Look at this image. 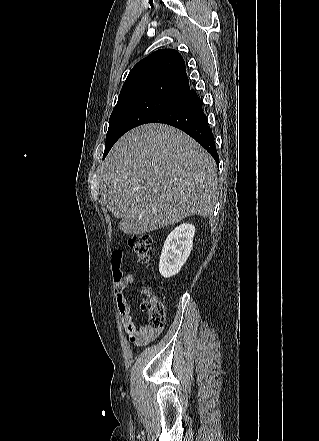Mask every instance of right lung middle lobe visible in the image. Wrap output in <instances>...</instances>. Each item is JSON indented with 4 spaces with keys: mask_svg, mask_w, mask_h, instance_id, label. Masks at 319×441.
<instances>
[{
    "mask_svg": "<svg viewBox=\"0 0 319 441\" xmlns=\"http://www.w3.org/2000/svg\"><path fill=\"white\" fill-rule=\"evenodd\" d=\"M171 104L172 102L167 100L143 97L127 100L116 105L109 120L103 158L124 133L136 126L148 123L155 115Z\"/></svg>",
    "mask_w": 319,
    "mask_h": 441,
    "instance_id": "right-lung-middle-lobe-1",
    "label": "right lung middle lobe"
}]
</instances>
